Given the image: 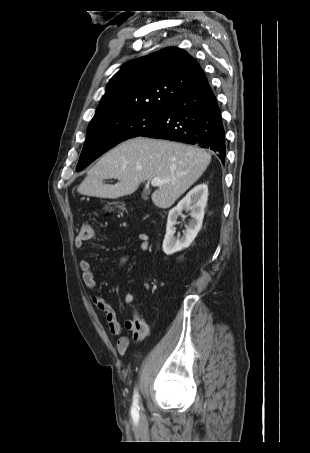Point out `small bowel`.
Returning <instances> with one entry per match:
<instances>
[{
	"instance_id": "obj_1",
	"label": "small bowel",
	"mask_w": 310,
	"mask_h": 453,
	"mask_svg": "<svg viewBox=\"0 0 310 453\" xmlns=\"http://www.w3.org/2000/svg\"><path fill=\"white\" fill-rule=\"evenodd\" d=\"M138 239L140 241V250L145 252L149 248V237L145 232H140L138 234ZM87 238H84L81 234L75 237L74 245L77 248H81ZM126 262V258L123 257L120 260L119 265L123 266ZM79 267L81 270V277L84 285L91 291L96 289V280L93 271L92 263L87 260L83 259L79 263ZM92 301L100 312L105 315V321L108 327L109 332L112 335L119 336L116 344L117 351L120 355H125L128 345H129V338L123 334V329L131 331L133 333V339L136 341L144 339L149 333V325L148 323L140 317L138 311H134V316L132 319L126 320L123 326L119 323L116 313L111 307V305L102 297L93 294ZM124 301L126 304H131L134 301V296L131 292H126L124 294Z\"/></svg>"
}]
</instances>
